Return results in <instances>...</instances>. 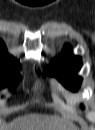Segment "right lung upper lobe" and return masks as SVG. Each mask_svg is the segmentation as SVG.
Instances as JSON below:
<instances>
[{
  "mask_svg": "<svg viewBox=\"0 0 95 130\" xmlns=\"http://www.w3.org/2000/svg\"><path fill=\"white\" fill-rule=\"evenodd\" d=\"M19 70V64L5 50L3 42L0 43V71Z\"/></svg>",
  "mask_w": 95,
  "mask_h": 130,
  "instance_id": "cb5924a9",
  "label": "right lung upper lobe"
}]
</instances>
